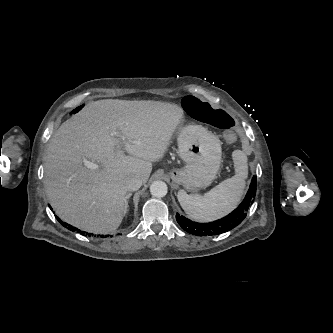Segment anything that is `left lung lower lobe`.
Listing matches in <instances>:
<instances>
[{"label":"left lung lower lobe","instance_id":"obj_1","mask_svg":"<svg viewBox=\"0 0 333 333\" xmlns=\"http://www.w3.org/2000/svg\"><path fill=\"white\" fill-rule=\"evenodd\" d=\"M256 181L257 178L253 177L245 199L228 216L211 223H197L177 214V222L185 231L196 236L219 235L233 229L242 222L247 215L249 207L253 204L256 195Z\"/></svg>","mask_w":333,"mask_h":333}]
</instances>
